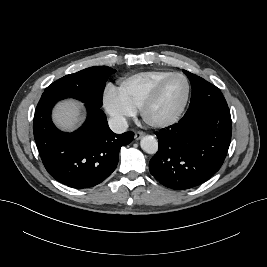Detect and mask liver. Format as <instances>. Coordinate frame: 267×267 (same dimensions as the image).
<instances>
[{
  "mask_svg": "<svg viewBox=\"0 0 267 267\" xmlns=\"http://www.w3.org/2000/svg\"><path fill=\"white\" fill-rule=\"evenodd\" d=\"M83 120V107L77 101H62L53 110L54 123L64 131H73Z\"/></svg>",
  "mask_w": 267,
  "mask_h": 267,
  "instance_id": "6515ba94",
  "label": "liver"
}]
</instances>
